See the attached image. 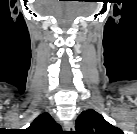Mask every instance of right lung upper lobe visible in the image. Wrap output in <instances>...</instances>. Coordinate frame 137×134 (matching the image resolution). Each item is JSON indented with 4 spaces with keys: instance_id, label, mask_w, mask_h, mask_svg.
Listing matches in <instances>:
<instances>
[{
    "instance_id": "cb5924a9",
    "label": "right lung upper lobe",
    "mask_w": 137,
    "mask_h": 134,
    "mask_svg": "<svg viewBox=\"0 0 137 134\" xmlns=\"http://www.w3.org/2000/svg\"><path fill=\"white\" fill-rule=\"evenodd\" d=\"M61 131L49 113L40 114L23 132L25 134H56Z\"/></svg>"
}]
</instances>
